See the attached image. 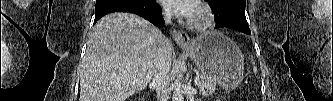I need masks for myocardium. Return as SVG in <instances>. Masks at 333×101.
I'll use <instances>...</instances> for the list:
<instances>
[{
    "label": "myocardium",
    "mask_w": 333,
    "mask_h": 101,
    "mask_svg": "<svg viewBox=\"0 0 333 101\" xmlns=\"http://www.w3.org/2000/svg\"><path fill=\"white\" fill-rule=\"evenodd\" d=\"M195 9L199 16L198 18L190 16L187 19V25L194 30H205L211 27L215 20V16L211 8L205 3L198 2Z\"/></svg>",
    "instance_id": "f54148a6"
}]
</instances>
